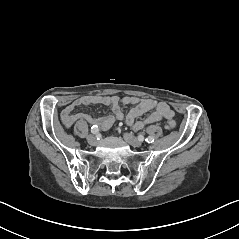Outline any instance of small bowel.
I'll list each match as a JSON object with an SVG mask.
<instances>
[{
    "label": "small bowel",
    "mask_w": 239,
    "mask_h": 239,
    "mask_svg": "<svg viewBox=\"0 0 239 239\" xmlns=\"http://www.w3.org/2000/svg\"><path fill=\"white\" fill-rule=\"evenodd\" d=\"M120 103L132 106L126 117L120 107ZM90 104L110 106L112 114L105 117H95L85 113H74V110L77 107ZM148 112L151 113H149L143 120H139V117ZM173 116L174 111L163 101L131 96L119 98L118 96L101 95L80 97L67 105L61 113L62 122L66 127H71L76 121L85 120L89 124L93 126L96 125L102 130L109 129L116 121L123 120L124 117L126 118L128 125L138 130L144 126L159 122L162 119H170Z\"/></svg>",
    "instance_id": "1"
}]
</instances>
